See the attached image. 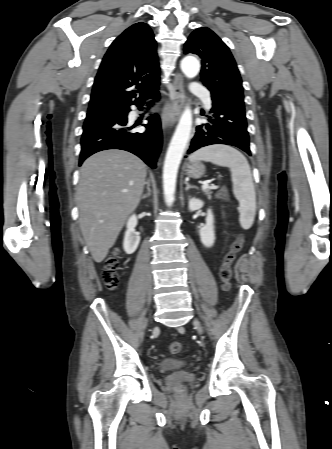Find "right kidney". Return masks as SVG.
Masks as SVG:
<instances>
[{"label":"right kidney","instance_id":"ca27d5eb","mask_svg":"<svg viewBox=\"0 0 332 449\" xmlns=\"http://www.w3.org/2000/svg\"><path fill=\"white\" fill-rule=\"evenodd\" d=\"M137 223H138V218L135 214H133L127 222V230L125 232L124 241H123V248L127 254L134 253L139 245V242H140V236L135 231V227H136Z\"/></svg>","mask_w":332,"mask_h":449}]
</instances>
